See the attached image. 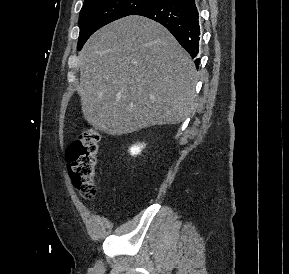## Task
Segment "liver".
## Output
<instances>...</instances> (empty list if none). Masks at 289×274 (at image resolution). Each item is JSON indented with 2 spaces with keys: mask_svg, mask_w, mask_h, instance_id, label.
I'll return each instance as SVG.
<instances>
[{
  "mask_svg": "<svg viewBox=\"0 0 289 274\" xmlns=\"http://www.w3.org/2000/svg\"><path fill=\"white\" fill-rule=\"evenodd\" d=\"M79 64L83 116L108 135L178 124L194 107L197 75L190 55L145 17L131 15L99 29L79 53Z\"/></svg>",
  "mask_w": 289,
  "mask_h": 274,
  "instance_id": "liver-1",
  "label": "liver"
}]
</instances>
